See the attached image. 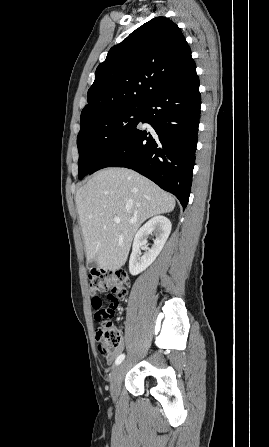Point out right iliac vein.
Returning a JSON list of instances; mask_svg holds the SVG:
<instances>
[{"mask_svg": "<svg viewBox=\"0 0 269 447\" xmlns=\"http://www.w3.org/2000/svg\"><path fill=\"white\" fill-rule=\"evenodd\" d=\"M125 368L123 364H119L114 370L110 377V392L113 401L115 402L118 398L120 391V384L123 379Z\"/></svg>", "mask_w": 269, "mask_h": 447, "instance_id": "1", "label": "right iliac vein"}]
</instances>
